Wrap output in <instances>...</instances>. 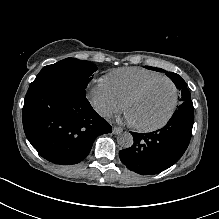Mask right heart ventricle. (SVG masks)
Segmentation results:
<instances>
[{
    "instance_id": "right-heart-ventricle-1",
    "label": "right heart ventricle",
    "mask_w": 219,
    "mask_h": 219,
    "mask_svg": "<svg viewBox=\"0 0 219 219\" xmlns=\"http://www.w3.org/2000/svg\"><path fill=\"white\" fill-rule=\"evenodd\" d=\"M160 77L162 75L157 72L136 67H126L110 72L103 80L116 98L124 103L133 91L143 84Z\"/></svg>"
}]
</instances>
